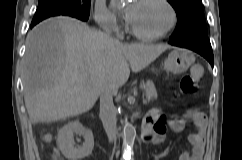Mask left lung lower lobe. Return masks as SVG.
Here are the masks:
<instances>
[{
	"label": "left lung lower lobe",
	"instance_id": "1",
	"mask_svg": "<svg viewBox=\"0 0 242 160\" xmlns=\"http://www.w3.org/2000/svg\"><path fill=\"white\" fill-rule=\"evenodd\" d=\"M169 44L193 50L206 58L212 67L214 65L213 52L207 35H196L177 40L172 39L169 41Z\"/></svg>",
	"mask_w": 242,
	"mask_h": 160
}]
</instances>
